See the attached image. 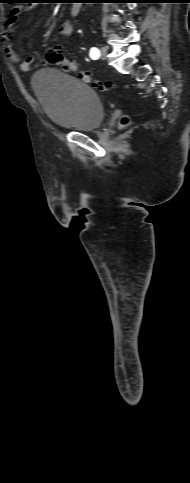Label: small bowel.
Returning <instances> with one entry per match:
<instances>
[{
    "mask_svg": "<svg viewBox=\"0 0 190 483\" xmlns=\"http://www.w3.org/2000/svg\"><path fill=\"white\" fill-rule=\"evenodd\" d=\"M32 10V6L23 5L13 8L11 14L6 22V28L1 35V41L3 44V50L9 60L19 64L20 69L23 72H29L31 70L32 58L22 59L13 49L11 39L14 33V23L20 14L27 13ZM58 34L61 38H70L73 34V25L71 22H64L60 25Z\"/></svg>",
    "mask_w": 190,
    "mask_h": 483,
    "instance_id": "1",
    "label": "small bowel"
}]
</instances>
